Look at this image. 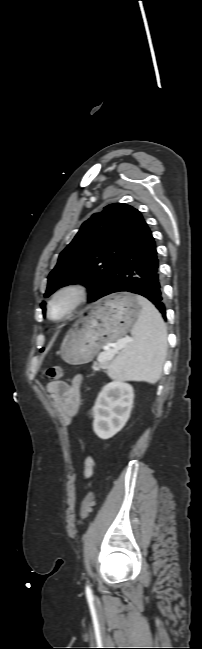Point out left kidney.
<instances>
[{
  "label": "left kidney",
  "mask_w": 202,
  "mask_h": 649,
  "mask_svg": "<svg viewBox=\"0 0 202 649\" xmlns=\"http://www.w3.org/2000/svg\"><path fill=\"white\" fill-rule=\"evenodd\" d=\"M133 387L121 380L107 383L99 393L93 407V430L101 439L118 433L130 417L133 406Z\"/></svg>",
  "instance_id": "obj_1"
}]
</instances>
